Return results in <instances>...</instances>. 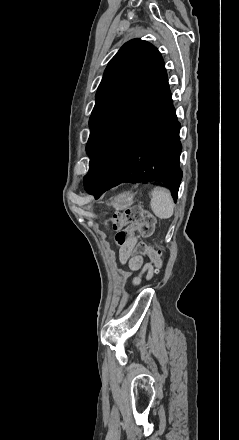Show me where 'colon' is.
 Here are the masks:
<instances>
[{"instance_id":"colon-1","label":"colon","mask_w":239,"mask_h":440,"mask_svg":"<svg viewBox=\"0 0 239 440\" xmlns=\"http://www.w3.org/2000/svg\"><path fill=\"white\" fill-rule=\"evenodd\" d=\"M110 222L117 232L116 242L119 245H124L136 234L143 238L150 237L155 226L154 216L138 205L129 207L124 213L113 215ZM132 253L136 256H148L156 269H160L162 266L160 251L153 249L145 241H140Z\"/></svg>"}]
</instances>
